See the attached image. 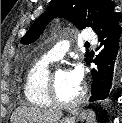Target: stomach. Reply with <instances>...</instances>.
Returning a JSON list of instances; mask_svg holds the SVG:
<instances>
[{
	"label": "stomach",
	"instance_id": "stomach-1",
	"mask_svg": "<svg viewBox=\"0 0 122 123\" xmlns=\"http://www.w3.org/2000/svg\"><path fill=\"white\" fill-rule=\"evenodd\" d=\"M85 119L84 112L79 115H73V116H68L64 117L61 120L58 121V123H77L78 121H83Z\"/></svg>",
	"mask_w": 122,
	"mask_h": 123
}]
</instances>
